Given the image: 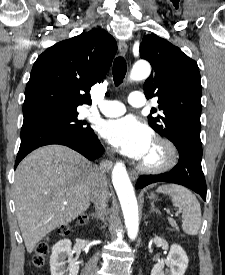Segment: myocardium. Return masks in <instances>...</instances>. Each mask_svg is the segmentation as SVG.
Segmentation results:
<instances>
[{
    "label": "myocardium",
    "mask_w": 225,
    "mask_h": 275,
    "mask_svg": "<svg viewBox=\"0 0 225 275\" xmlns=\"http://www.w3.org/2000/svg\"><path fill=\"white\" fill-rule=\"evenodd\" d=\"M153 144L161 151V158L156 163L141 161L139 170L146 174H160L172 169L178 161V151L175 145L163 137H155Z\"/></svg>",
    "instance_id": "myocardium-1"
}]
</instances>
